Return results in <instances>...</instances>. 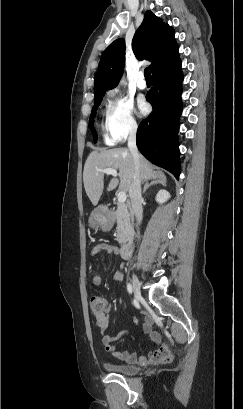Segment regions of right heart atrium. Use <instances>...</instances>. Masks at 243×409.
<instances>
[{
    "label": "right heart atrium",
    "mask_w": 243,
    "mask_h": 409,
    "mask_svg": "<svg viewBox=\"0 0 243 409\" xmlns=\"http://www.w3.org/2000/svg\"><path fill=\"white\" fill-rule=\"evenodd\" d=\"M105 127L112 141H121L134 134L138 128L131 101L116 91L109 94Z\"/></svg>",
    "instance_id": "right-heart-atrium-1"
}]
</instances>
